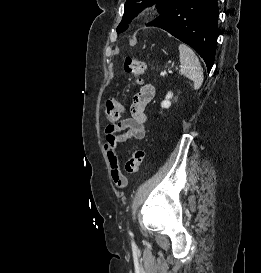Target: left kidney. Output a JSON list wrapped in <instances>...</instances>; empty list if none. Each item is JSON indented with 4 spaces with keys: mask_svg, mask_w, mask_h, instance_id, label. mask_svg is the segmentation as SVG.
<instances>
[{
    "mask_svg": "<svg viewBox=\"0 0 261 273\" xmlns=\"http://www.w3.org/2000/svg\"><path fill=\"white\" fill-rule=\"evenodd\" d=\"M173 97V93L172 92H168V94L166 95V98L164 101H162L161 103V107L162 108H169L171 106V101L170 99Z\"/></svg>",
    "mask_w": 261,
    "mask_h": 273,
    "instance_id": "obj_1",
    "label": "left kidney"
}]
</instances>
